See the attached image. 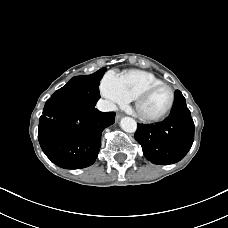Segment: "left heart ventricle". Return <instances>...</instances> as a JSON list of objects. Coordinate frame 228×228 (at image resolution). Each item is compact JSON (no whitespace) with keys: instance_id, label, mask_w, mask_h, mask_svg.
<instances>
[{"instance_id":"obj_1","label":"left heart ventricle","mask_w":228,"mask_h":228,"mask_svg":"<svg viewBox=\"0 0 228 228\" xmlns=\"http://www.w3.org/2000/svg\"><path fill=\"white\" fill-rule=\"evenodd\" d=\"M170 91L165 87H159L150 92L139 104V112L145 116L161 114L169 105Z\"/></svg>"}]
</instances>
